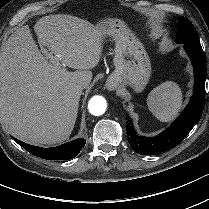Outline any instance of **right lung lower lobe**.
Instances as JSON below:
<instances>
[{
    "mask_svg": "<svg viewBox=\"0 0 209 209\" xmlns=\"http://www.w3.org/2000/svg\"><path fill=\"white\" fill-rule=\"evenodd\" d=\"M15 142L34 156L47 160H69L74 158L85 146L86 140L83 138L65 143L63 145L51 148H42L26 144L16 138Z\"/></svg>",
    "mask_w": 209,
    "mask_h": 209,
    "instance_id": "98d812e1",
    "label": "right lung lower lobe"
}]
</instances>
